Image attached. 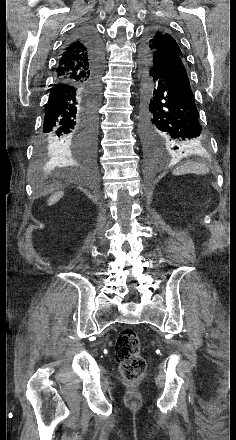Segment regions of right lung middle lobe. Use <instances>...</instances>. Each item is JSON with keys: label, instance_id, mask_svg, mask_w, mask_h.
<instances>
[{"label": "right lung middle lobe", "instance_id": "dd1d6c3e", "mask_svg": "<svg viewBox=\"0 0 236 440\" xmlns=\"http://www.w3.org/2000/svg\"><path fill=\"white\" fill-rule=\"evenodd\" d=\"M88 92L90 93V96L93 97V99H99L100 98V88L99 93L97 94L96 88H89ZM38 163L46 162L49 159V154L46 148L40 147V150L37 153L36 157Z\"/></svg>", "mask_w": 236, "mask_h": 440}]
</instances>
